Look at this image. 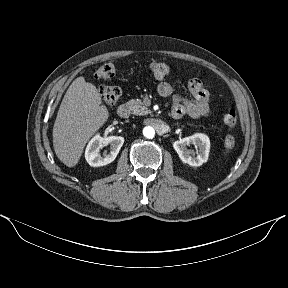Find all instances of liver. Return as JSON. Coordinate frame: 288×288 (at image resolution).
Masks as SVG:
<instances>
[{
  "mask_svg": "<svg viewBox=\"0 0 288 288\" xmlns=\"http://www.w3.org/2000/svg\"><path fill=\"white\" fill-rule=\"evenodd\" d=\"M97 88L84 77L76 78L69 86L53 127V146L56 156L68 167L80 160L88 140L109 117Z\"/></svg>",
  "mask_w": 288,
  "mask_h": 288,
  "instance_id": "1",
  "label": "liver"
}]
</instances>
